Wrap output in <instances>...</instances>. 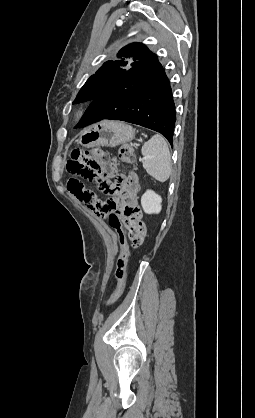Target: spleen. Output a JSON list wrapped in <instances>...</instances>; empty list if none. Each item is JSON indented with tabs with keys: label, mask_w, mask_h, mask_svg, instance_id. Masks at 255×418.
I'll use <instances>...</instances> for the list:
<instances>
[{
	"label": "spleen",
	"mask_w": 255,
	"mask_h": 418,
	"mask_svg": "<svg viewBox=\"0 0 255 418\" xmlns=\"http://www.w3.org/2000/svg\"><path fill=\"white\" fill-rule=\"evenodd\" d=\"M143 167L157 181L165 182L171 175V155L165 138L153 135L141 148Z\"/></svg>",
	"instance_id": "spleen-1"
}]
</instances>
